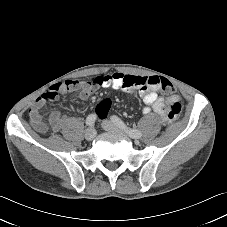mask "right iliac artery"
I'll use <instances>...</instances> for the list:
<instances>
[{
  "label": "right iliac artery",
  "mask_w": 227,
  "mask_h": 227,
  "mask_svg": "<svg viewBox=\"0 0 227 227\" xmlns=\"http://www.w3.org/2000/svg\"><path fill=\"white\" fill-rule=\"evenodd\" d=\"M96 121V115L94 114H90L87 118H86V125L87 126H93L94 123Z\"/></svg>",
  "instance_id": "right-iliac-artery-1"
}]
</instances>
